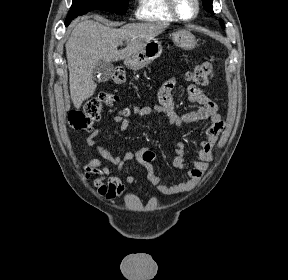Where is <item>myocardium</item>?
Segmentation results:
<instances>
[{
	"instance_id": "1",
	"label": "myocardium",
	"mask_w": 288,
	"mask_h": 280,
	"mask_svg": "<svg viewBox=\"0 0 288 280\" xmlns=\"http://www.w3.org/2000/svg\"><path fill=\"white\" fill-rule=\"evenodd\" d=\"M193 1H194V4H195V11L188 18H185V17L180 15V13L178 12V9H177L176 0H167V4H168V8H169L171 14L174 16V18L176 20L183 21V22H189V21L194 20L198 16V14L200 12V0H193Z\"/></svg>"
}]
</instances>
